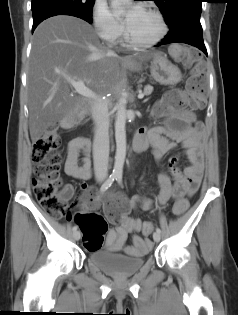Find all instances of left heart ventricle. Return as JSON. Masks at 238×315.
<instances>
[{
  "label": "left heart ventricle",
  "mask_w": 238,
  "mask_h": 315,
  "mask_svg": "<svg viewBox=\"0 0 238 315\" xmlns=\"http://www.w3.org/2000/svg\"><path fill=\"white\" fill-rule=\"evenodd\" d=\"M127 28L131 37L137 41L152 40L160 31L157 18L142 8L130 18Z\"/></svg>",
  "instance_id": "left-heart-ventricle-1"
}]
</instances>
